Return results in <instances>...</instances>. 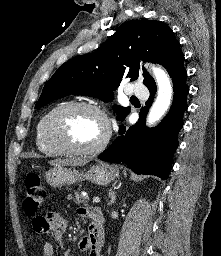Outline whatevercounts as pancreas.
<instances>
[{
	"label": "pancreas",
	"mask_w": 221,
	"mask_h": 256,
	"mask_svg": "<svg viewBox=\"0 0 221 256\" xmlns=\"http://www.w3.org/2000/svg\"><path fill=\"white\" fill-rule=\"evenodd\" d=\"M68 199H72L76 204L87 205L89 202V196H83L79 191H75L73 195H69Z\"/></svg>",
	"instance_id": "cf45deb5"
}]
</instances>
